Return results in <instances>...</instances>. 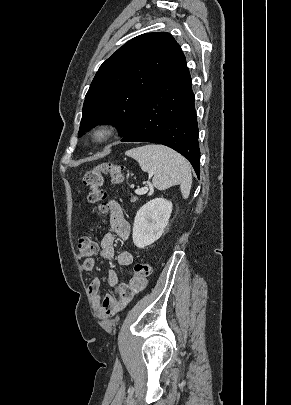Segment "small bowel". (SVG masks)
Wrapping results in <instances>:
<instances>
[{
    "mask_svg": "<svg viewBox=\"0 0 291 405\" xmlns=\"http://www.w3.org/2000/svg\"><path fill=\"white\" fill-rule=\"evenodd\" d=\"M109 212L111 232L106 233L100 242V254L104 259H111L115 254V240L117 237L127 240L131 234V227L124 218L120 204L115 200H109L106 204ZM118 264L129 266L133 263V255L129 251H121L117 256ZM82 270L92 272L95 269L94 259L83 261ZM100 280L94 278L88 285V294L97 315L106 319L125 307L135 294L142 291L146 286V280H131L128 283H120L117 272L114 269L108 271L106 284L114 288V294L100 295Z\"/></svg>",
    "mask_w": 291,
    "mask_h": 405,
    "instance_id": "small-bowel-1",
    "label": "small bowel"
}]
</instances>
